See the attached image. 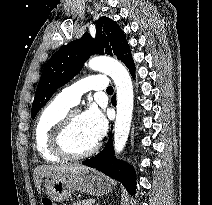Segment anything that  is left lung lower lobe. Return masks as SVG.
Instances as JSON below:
<instances>
[{"label":"left lung lower lobe","instance_id":"0a47b994","mask_svg":"<svg viewBox=\"0 0 212 205\" xmlns=\"http://www.w3.org/2000/svg\"><path fill=\"white\" fill-rule=\"evenodd\" d=\"M124 64L132 76L135 77V65L132 55L129 56ZM82 164L96 168L109 177L120 181L131 195L135 194L136 176L134 169L129 164L116 159L114 156L112 137L109 138L105 148L99 154L83 161Z\"/></svg>","mask_w":212,"mask_h":205}]
</instances>
